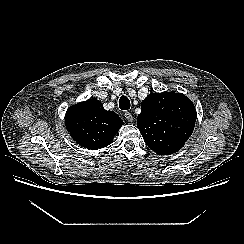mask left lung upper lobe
Instances as JSON below:
<instances>
[{"instance_id":"left-lung-upper-lobe-1","label":"left lung upper lobe","mask_w":244,"mask_h":244,"mask_svg":"<svg viewBox=\"0 0 244 244\" xmlns=\"http://www.w3.org/2000/svg\"><path fill=\"white\" fill-rule=\"evenodd\" d=\"M196 109L180 93H151L141 105L137 127L145 143L158 155L179 151L191 136L196 122Z\"/></svg>"}]
</instances>
